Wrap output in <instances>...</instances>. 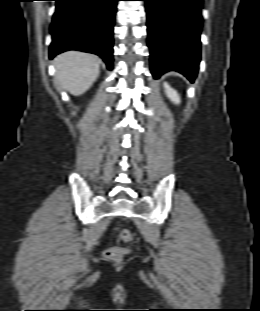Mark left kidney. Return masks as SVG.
Here are the masks:
<instances>
[{
  "label": "left kidney",
  "instance_id": "1",
  "mask_svg": "<svg viewBox=\"0 0 260 311\" xmlns=\"http://www.w3.org/2000/svg\"><path fill=\"white\" fill-rule=\"evenodd\" d=\"M164 89L167 97L175 104L180 103V97L176 90H174L170 85L166 82H164Z\"/></svg>",
  "mask_w": 260,
  "mask_h": 311
}]
</instances>
